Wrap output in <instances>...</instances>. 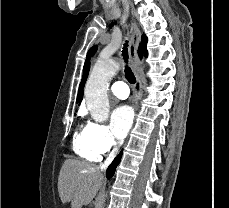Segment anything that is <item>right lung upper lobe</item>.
<instances>
[{
	"label": "right lung upper lobe",
	"instance_id": "obj_1",
	"mask_svg": "<svg viewBox=\"0 0 229 208\" xmlns=\"http://www.w3.org/2000/svg\"><path fill=\"white\" fill-rule=\"evenodd\" d=\"M139 56L142 57V50L141 48L139 47ZM89 64L87 65V67L85 68L84 70V74H83V77H82V81L80 83V86H79V91H78V95H77V103H80L82 98H83V87L85 85V82H86V79H87V76H88V73H89Z\"/></svg>",
	"mask_w": 229,
	"mask_h": 208
}]
</instances>
